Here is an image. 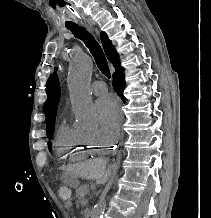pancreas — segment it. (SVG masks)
Here are the masks:
<instances>
[{
	"instance_id": "obj_1",
	"label": "pancreas",
	"mask_w": 211,
	"mask_h": 218,
	"mask_svg": "<svg viewBox=\"0 0 211 218\" xmlns=\"http://www.w3.org/2000/svg\"><path fill=\"white\" fill-rule=\"evenodd\" d=\"M79 190H75V195H88L89 186H79Z\"/></svg>"
}]
</instances>
